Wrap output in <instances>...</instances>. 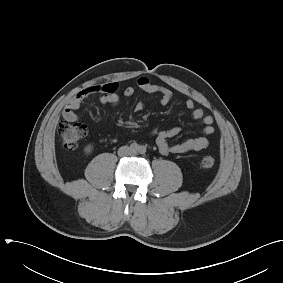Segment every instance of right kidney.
Wrapping results in <instances>:
<instances>
[{
    "label": "right kidney",
    "instance_id": "obj_1",
    "mask_svg": "<svg viewBox=\"0 0 283 283\" xmlns=\"http://www.w3.org/2000/svg\"><path fill=\"white\" fill-rule=\"evenodd\" d=\"M92 148H93L92 145H87L84 149L85 153L89 154L92 151Z\"/></svg>",
    "mask_w": 283,
    "mask_h": 283
}]
</instances>
